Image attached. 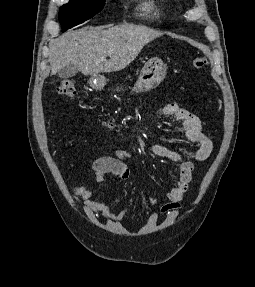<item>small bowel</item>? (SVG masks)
<instances>
[{
  "label": "small bowel",
  "instance_id": "small-bowel-1",
  "mask_svg": "<svg viewBox=\"0 0 255 287\" xmlns=\"http://www.w3.org/2000/svg\"><path fill=\"white\" fill-rule=\"evenodd\" d=\"M158 115L174 116L181 123L184 137L190 142L197 143L199 147L187 159L183 158L179 152L160 144H150L146 147L150 154L178 163L179 172L175 186L161 198L160 201L163 204L159 211H155L149 216L148 222L150 224H155L159 215H169L181 208V201L192 179L194 162L205 161L213 150V143L205 135L201 120L197 115L181 108L176 102L163 106L158 111ZM130 156L131 153L124 150L116 151L112 155L101 156L92 163L90 172L94 174L99 183L104 182V176L107 174H111L117 180L124 181L129 175L124 160ZM72 194L76 202H82L86 215L90 219L97 220L102 216L113 221H120L126 215V211L123 209H111L107 203L95 200L94 193L84 187H73ZM149 202L155 205L158 200L150 198Z\"/></svg>",
  "mask_w": 255,
  "mask_h": 287
}]
</instances>
